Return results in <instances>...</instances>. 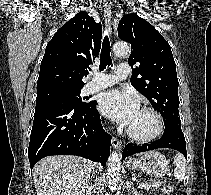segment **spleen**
Returning <instances> with one entry per match:
<instances>
[{"label":"spleen","mask_w":211,"mask_h":195,"mask_svg":"<svg viewBox=\"0 0 211 195\" xmlns=\"http://www.w3.org/2000/svg\"><path fill=\"white\" fill-rule=\"evenodd\" d=\"M174 164H175V170H174V176L179 181L183 180L186 172V161L182 154L178 153L176 154L174 158Z\"/></svg>","instance_id":"3e777b00"}]
</instances>
